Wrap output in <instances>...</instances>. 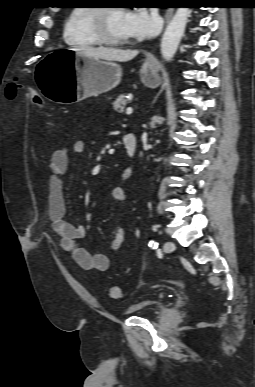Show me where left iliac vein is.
<instances>
[{
  "mask_svg": "<svg viewBox=\"0 0 255 387\" xmlns=\"http://www.w3.org/2000/svg\"><path fill=\"white\" fill-rule=\"evenodd\" d=\"M163 249L166 253H171L175 250V244L171 241H167L164 243Z\"/></svg>",
  "mask_w": 255,
  "mask_h": 387,
  "instance_id": "obj_1",
  "label": "left iliac vein"
}]
</instances>
